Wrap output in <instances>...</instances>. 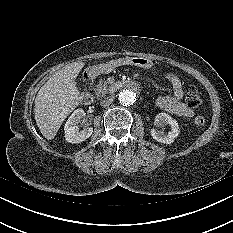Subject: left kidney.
I'll list each match as a JSON object with an SVG mask.
<instances>
[{"instance_id":"left-kidney-1","label":"left kidney","mask_w":233,"mask_h":233,"mask_svg":"<svg viewBox=\"0 0 233 233\" xmlns=\"http://www.w3.org/2000/svg\"><path fill=\"white\" fill-rule=\"evenodd\" d=\"M169 124L170 131L167 134H164L161 131H158L156 129L151 130V136L153 139H155L157 142L164 143V144H171L174 142V139L179 134V126L175 119H173L171 116H169L166 113H159L155 117L154 125L157 126H164Z\"/></svg>"}]
</instances>
